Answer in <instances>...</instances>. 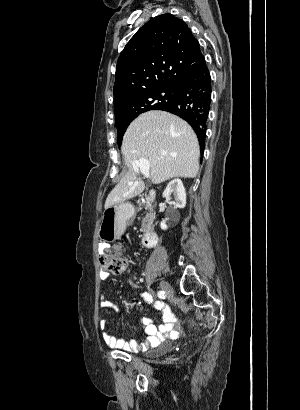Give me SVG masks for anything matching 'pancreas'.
<instances>
[{
	"label": "pancreas",
	"instance_id": "obj_1",
	"mask_svg": "<svg viewBox=\"0 0 300 410\" xmlns=\"http://www.w3.org/2000/svg\"><path fill=\"white\" fill-rule=\"evenodd\" d=\"M141 205V204H140ZM147 209H149V210H151V207H149V206H147L146 207ZM151 219H152V215L151 214H149V215H147L145 218H143V220H142V226H141V231L142 232H147V231H149L150 230V225H149V222L151 221Z\"/></svg>",
	"mask_w": 300,
	"mask_h": 410
}]
</instances>
